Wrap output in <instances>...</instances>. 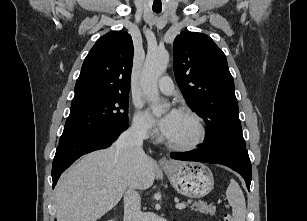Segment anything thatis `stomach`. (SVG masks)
<instances>
[{"instance_id": "stomach-1", "label": "stomach", "mask_w": 307, "mask_h": 221, "mask_svg": "<svg viewBox=\"0 0 307 221\" xmlns=\"http://www.w3.org/2000/svg\"><path fill=\"white\" fill-rule=\"evenodd\" d=\"M164 171L173 187L187 197H203L214 187L211 170L199 162L173 161Z\"/></svg>"}]
</instances>
